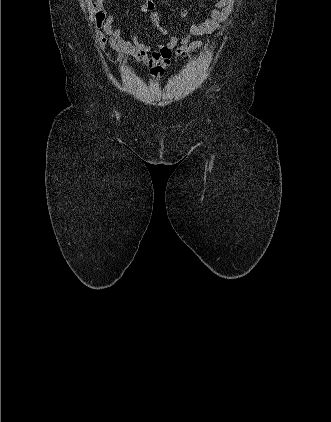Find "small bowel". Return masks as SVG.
Here are the masks:
<instances>
[{
	"instance_id": "small-bowel-1",
	"label": "small bowel",
	"mask_w": 331,
	"mask_h": 422,
	"mask_svg": "<svg viewBox=\"0 0 331 422\" xmlns=\"http://www.w3.org/2000/svg\"><path fill=\"white\" fill-rule=\"evenodd\" d=\"M105 0H95L94 14L98 26L102 32L97 35L98 44L101 48L109 45L117 52V59L110 62L118 68L123 65V59L134 56L145 63L152 77L160 78L165 74L173 58H186L202 45V41H191L193 36L210 35L219 30L230 16L234 0H218L212 5H207L195 0L197 6L210 10L209 15L200 23L191 25L185 36H181L177 30L165 26L161 22L155 0H144L140 9L148 13L151 23L158 33L166 37V41L157 44L142 42L140 35H134L130 41L121 36V25L114 27V16L107 14L104 8ZM188 10H182L180 16L187 17Z\"/></svg>"
}]
</instances>
